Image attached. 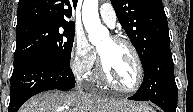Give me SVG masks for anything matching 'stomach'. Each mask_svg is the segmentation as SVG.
I'll return each instance as SVG.
<instances>
[{"instance_id": "obj_1", "label": "stomach", "mask_w": 193, "mask_h": 112, "mask_svg": "<svg viewBox=\"0 0 193 112\" xmlns=\"http://www.w3.org/2000/svg\"><path fill=\"white\" fill-rule=\"evenodd\" d=\"M117 112H154V110L144 103H134Z\"/></svg>"}]
</instances>
